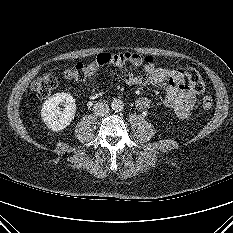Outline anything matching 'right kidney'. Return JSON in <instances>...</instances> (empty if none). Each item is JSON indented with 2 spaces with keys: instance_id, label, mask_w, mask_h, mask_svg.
Masks as SVG:
<instances>
[{
  "instance_id": "right-kidney-1",
  "label": "right kidney",
  "mask_w": 233,
  "mask_h": 233,
  "mask_svg": "<svg viewBox=\"0 0 233 233\" xmlns=\"http://www.w3.org/2000/svg\"><path fill=\"white\" fill-rule=\"evenodd\" d=\"M64 103L65 109L61 111L59 104ZM75 99L68 93H56L49 97L42 106L41 116L44 123L52 131H61L70 125L75 117Z\"/></svg>"
}]
</instances>
